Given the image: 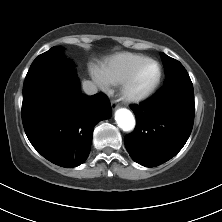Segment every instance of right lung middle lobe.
<instances>
[{
    "instance_id": "obj_1",
    "label": "right lung middle lobe",
    "mask_w": 222,
    "mask_h": 222,
    "mask_svg": "<svg viewBox=\"0 0 222 222\" xmlns=\"http://www.w3.org/2000/svg\"><path fill=\"white\" fill-rule=\"evenodd\" d=\"M61 50L52 47L33 61L23 85V98L41 91H64L77 83L72 64Z\"/></svg>"
}]
</instances>
